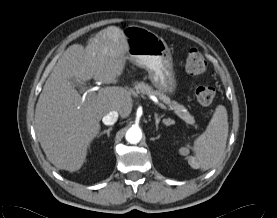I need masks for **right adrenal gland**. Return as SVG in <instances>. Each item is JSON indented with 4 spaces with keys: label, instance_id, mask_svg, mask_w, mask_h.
Wrapping results in <instances>:
<instances>
[{
    "label": "right adrenal gland",
    "instance_id": "1",
    "mask_svg": "<svg viewBox=\"0 0 277 218\" xmlns=\"http://www.w3.org/2000/svg\"><path fill=\"white\" fill-rule=\"evenodd\" d=\"M112 130V127L108 128V129H105L104 131H102L98 137L104 135V134H107L108 137H110V131Z\"/></svg>",
    "mask_w": 277,
    "mask_h": 218
}]
</instances>
